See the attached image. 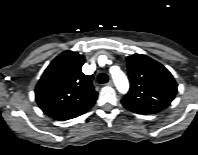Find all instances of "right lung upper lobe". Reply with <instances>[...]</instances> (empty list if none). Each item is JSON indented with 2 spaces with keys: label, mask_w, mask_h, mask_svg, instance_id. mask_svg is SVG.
<instances>
[{
  "label": "right lung upper lobe",
  "mask_w": 198,
  "mask_h": 155,
  "mask_svg": "<svg viewBox=\"0 0 198 155\" xmlns=\"http://www.w3.org/2000/svg\"><path fill=\"white\" fill-rule=\"evenodd\" d=\"M85 57L65 51L46 68L35 97L42 111L56 119L68 120L88 111L97 100L91 78L82 73Z\"/></svg>",
  "instance_id": "right-lung-upper-lobe-1"
}]
</instances>
